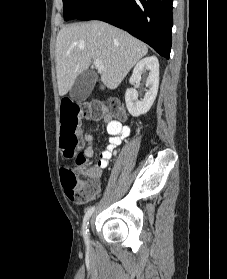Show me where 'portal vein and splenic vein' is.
Here are the masks:
<instances>
[{
	"instance_id": "18ae733b",
	"label": "portal vein and splenic vein",
	"mask_w": 227,
	"mask_h": 279,
	"mask_svg": "<svg viewBox=\"0 0 227 279\" xmlns=\"http://www.w3.org/2000/svg\"><path fill=\"white\" fill-rule=\"evenodd\" d=\"M93 63H94V65H95V67H96L97 69H99V70H104V65H103V63H102L101 60H99V59H94Z\"/></svg>"
}]
</instances>
